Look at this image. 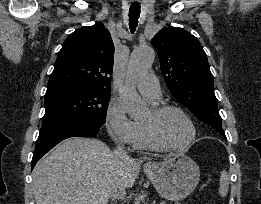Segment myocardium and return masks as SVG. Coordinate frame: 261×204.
I'll list each match as a JSON object with an SVG mask.
<instances>
[{
	"mask_svg": "<svg viewBox=\"0 0 261 204\" xmlns=\"http://www.w3.org/2000/svg\"><path fill=\"white\" fill-rule=\"evenodd\" d=\"M170 111H176L180 113L188 122L191 128V136L189 140L183 145H171L164 140L160 131H159V122L161 118ZM145 129L151 138V140L161 149L170 150V151H183L189 148L196 139L197 129L195 123L189 113L182 107L175 104H159L153 106L149 111V117L146 120H143Z\"/></svg>",
	"mask_w": 261,
	"mask_h": 204,
	"instance_id": "f54148a6",
	"label": "myocardium"
}]
</instances>
